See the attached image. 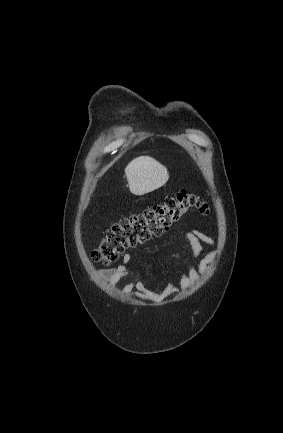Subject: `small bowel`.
I'll list each match as a JSON object with an SVG mask.
<instances>
[{
  "instance_id": "obj_1",
  "label": "small bowel",
  "mask_w": 283,
  "mask_h": 433,
  "mask_svg": "<svg viewBox=\"0 0 283 433\" xmlns=\"http://www.w3.org/2000/svg\"><path fill=\"white\" fill-rule=\"evenodd\" d=\"M182 238L190 246L192 264L188 269L181 272L178 279L169 281L160 292L149 289L146 283L131 271L129 263L132 256L130 254H125L122 263L117 267L99 271L98 276L112 287H115L122 279L134 276L133 280L126 284L123 289L126 296H137L154 303L163 302L167 298L178 294L181 290H186L195 284L199 280V274L206 272L209 263L216 257L215 241L203 232L196 229H187L183 232ZM203 244L211 246L213 250L201 257ZM174 257L176 259L181 258L179 254H175Z\"/></svg>"
}]
</instances>
